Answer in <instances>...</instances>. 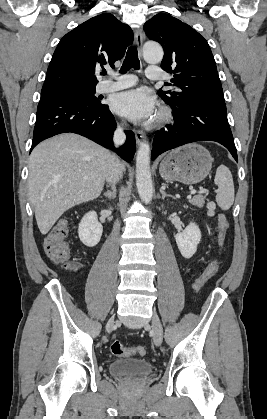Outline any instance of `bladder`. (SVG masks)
I'll return each instance as SVG.
<instances>
[{
    "mask_svg": "<svg viewBox=\"0 0 267 419\" xmlns=\"http://www.w3.org/2000/svg\"><path fill=\"white\" fill-rule=\"evenodd\" d=\"M153 367L145 359L126 358L117 359L108 365V372L112 376H145L151 374Z\"/></svg>",
    "mask_w": 267,
    "mask_h": 419,
    "instance_id": "obj_1",
    "label": "bladder"
}]
</instances>
